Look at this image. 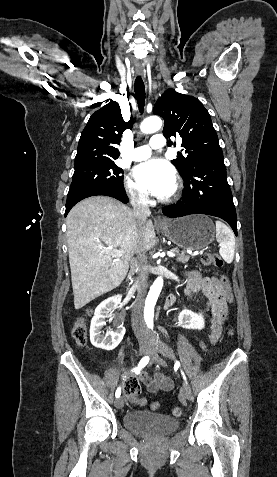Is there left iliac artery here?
<instances>
[{"instance_id":"44dca946","label":"left iliac artery","mask_w":277,"mask_h":477,"mask_svg":"<svg viewBox=\"0 0 277 477\" xmlns=\"http://www.w3.org/2000/svg\"><path fill=\"white\" fill-rule=\"evenodd\" d=\"M175 365H176L177 367H179V366H180L179 362H176V364H175ZM182 375H183V378L185 379V376H184V373H183V372H182Z\"/></svg>"}]
</instances>
